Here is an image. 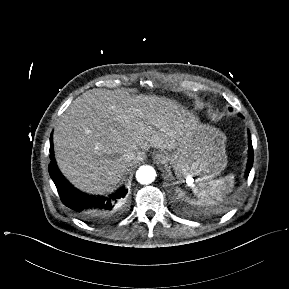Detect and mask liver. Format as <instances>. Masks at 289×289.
Here are the masks:
<instances>
[{
    "instance_id": "liver-1",
    "label": "liver",
    "mask_w": 289,
    "mask_h": 289,
    "mask_svg": "<svg viewBox=\"0 0 289 289\" xmlns=\"http://www.w3.org/2000/svg\"><path fill=\"white\" fill-rule=\"evenodd\" d=\"M193 120L164 97L92 89L76 98L57 122V165L79 190L101 195L112 191L128 171L126 154L140 153L143 159L150 147L177 148Z\"/></svg>"
}]
</instances>
